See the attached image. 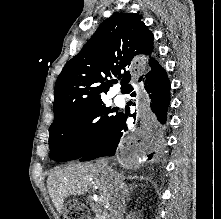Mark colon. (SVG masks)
<instances>
[{
    "instance_id": "1",
    "label": "colon",
    "mask_w": 221,
    "mask_h": 219,
    "mask_svg": "<svg viewBox=\"0 0 221 219\" xmlns=\"http://www.w3.org/2000/svg\"><path fill=\"white\" fill-rule=\"evenodd\" d=\"M67 219H82L83 209L73 202L66 205Z\"/></svg>"
}]
</instances>
